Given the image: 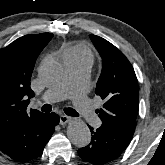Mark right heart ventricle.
<instances>
[{
    "mask_svg": "<svg viewBox=\"0 0 165 165\" xmlns=\"http://www.w3.org/2000/svg\"><path fill=\"white\" fill-rule=\"evenodd\" d=\"M64 61H89L92 62V51L84 44H74L64 49L63 51Z\"/></svg>",
    "mask_w": 165,
    "mask_h": 165,
    "instance_id": "1",
    "label": "right heart ventricle"
}]
</instances>
